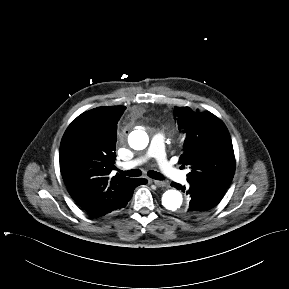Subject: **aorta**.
<instances>
[{"label":"aorta","mask_w":289,"mask_h":289,"mask_svg":"<svg viewBox=\"0 0 289 289\" xmlns=\"http://www.w3.org/2000/svg\"><path fill=\"white\" fill-rule=\"evenodd\" d=\"M149 138L144 131H135L129 138L128 143L135 150H143L147 147ZM183 197L178 190H168L162 196V205L170 211H178L182 208Z\"/></svg>","instance_id":"762f6f07"}]
</instances>
